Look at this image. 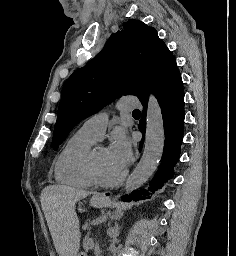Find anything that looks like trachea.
Listing matches in <instances>:
<instances>
[{
  "label": "trachea",
  "mask_w": 236,
  "mask_h": 256,
  "mask_svg": "<svg viewBox=\"0 0 236 256\" xmlns=\"http://www.w3.org/2000/svg\"><path fill=\"white\" fill-rule=\"evenodd\" d=\"M133 113H141L140 110H134Z\"/></svg>",
  "instance_id": "obj_1"
}]
</instances>
